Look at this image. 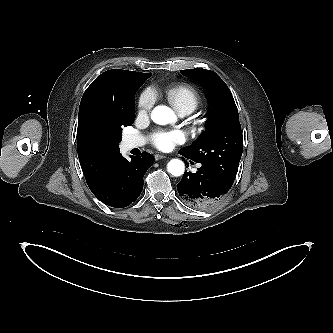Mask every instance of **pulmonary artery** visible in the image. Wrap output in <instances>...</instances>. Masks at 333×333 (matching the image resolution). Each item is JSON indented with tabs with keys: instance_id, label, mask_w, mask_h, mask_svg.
<instances>
[{
	"instance_id": "pulmonary-artery-1",
	"label": "pulmonary artery",
	"mask_w": 333,
	"mask_h": 333,
	"mask_svg": "<svg viewBox=\"0 0 333 333\" xmlns=\"http://www.w3.org/2000/svg\"><path fill=\"white\" fill-rule=\"evenodd\" d=\"M180 114L184 116L189 114V112H180ZM125 143L127 148L132 149L143 146L145 144V140L141 136L131 135L126 138Z\"/></svg>"
}]
</instances>
